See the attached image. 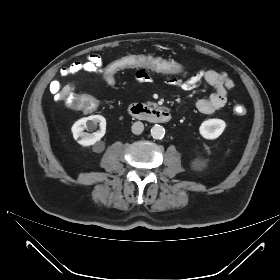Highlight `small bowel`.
Listing matches in <instances>:
<instances>
[{
    "label": "small bowel",
    "instance_id": "small-bowel-1",
    "mask_svg": "<svg viewBox=\"0 0 280 280\" xmlns=\"http://www.w3.org/2000/svg\"><path fill=\"white\" fill-rule=\"evenodd\" d=\"M75 72L83 71L90 74L103 73L104 64L98 55L92 54L83 62L72 64ZM135 73L137 83H146L152 81L150 69L138 68ZM156 73V72H154ZM166 76V83L171 86L181 88L184 91H191L198 87L202 82L215 89V92L208 97L200 98L196 101V108L204 114H211L226 105L228 91L234 88L233 81L225 72L202 69L194 75L188 76V70L183 65L182 72L177 76H169L166 73H159ZM104 75V74H103Z\"/></svg>",
    "mask_w": 280,
    "mask_h": 280
}]
</instances>
